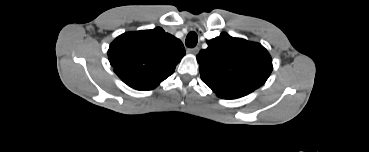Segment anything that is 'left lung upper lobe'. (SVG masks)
<instances>
[{
    "instance_id": "5c2ea615",
    "label": "left lung upper lobe",
    "mask_w": 369,
    "mask_h": 152,
    "mask_svg": "<svg viewBox=\"0 0 369 152\" xmlns=\"http://www.w3.org/2000/svg\"><path fill=\"white\" fill-rule=\"evenodd\" d=\"M197 55L201 79L224 99L243 97L265 83L272 72V59L259 43L227 33L207 41Z\"/></svg>"
}]
</instances>
